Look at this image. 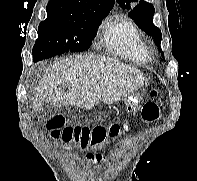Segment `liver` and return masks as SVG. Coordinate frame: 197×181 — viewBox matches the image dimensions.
Returning a JSON list of instances; mask_svg holds the SVG:
<instances>
[{
  "mask_svg": "<svg viewBox=\"0 0 197 181\" xmlns=\"http://www.w3.org/2000/svg\"><path fill=\"white\" fill-rule=\"evenodd\" d=\"M148 83L143 73L118 60L97 55H76L57 60L39 82L33 110L44 103L54 107L77 106L92 109L99 102L112 104ZM71 85L67 92L64 87Z\"/></svg>",
  "mask_w": 197,
  "mask_h": 181,
  "instance_id": "6515ba94",
  "label": "liver"
}]
</instances>
